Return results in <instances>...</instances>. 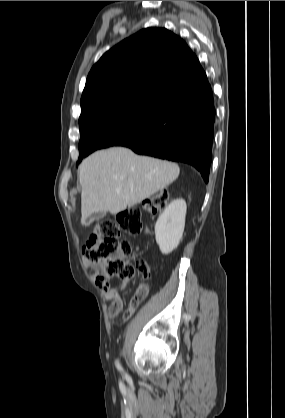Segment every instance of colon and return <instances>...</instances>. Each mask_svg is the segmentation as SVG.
Listing matches in <instances>:
<instances>
[{
    "mask_svg": "<svg viewBox=\"0 0 285 418\" xmlns=\"http://www.w3.org/2000/svg\"><path fill=\"white\" fill-rule=\"evenodd\" d=\"M168 194L160 192L146 202L129 210L120 212L117 220H102L92 226L83 246L84 259L90 264H100L95 284L101 289L109 288L117 279L132 277L136 267L129 262L132 247L121 241V233L138 235L143 230L142 216L151 212H160L164 208ZM149 294V284L140 283L133 299L144 301Z\"/></svg>",
    "mask_w": 285,
    "mask_h": 418,
    "instance_id": "obj_1",
    "label": "colon"
}]
</instances>
